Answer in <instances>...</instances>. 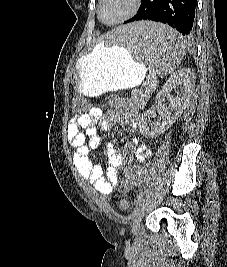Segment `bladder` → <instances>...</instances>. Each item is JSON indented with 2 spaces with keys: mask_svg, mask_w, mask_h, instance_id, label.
<instances>
[{
  "mask_svg": "<svg viewBox=\"0 0 227 267\" xmlns=\"http://www.w3.org/2000/svg\"><path fill=\"white\" fill-rule=\"evenodd\" d=\"M127 206H128V203L126 200H120L118 202V208L121 210V211H125L127 209Z\"/></svg>",
  "mask_w": 227,
  "mask_h": 267,
  "instance_id": "31cf9c89",
  "label": "bladder"
}]
</instances>
